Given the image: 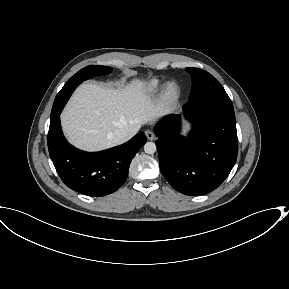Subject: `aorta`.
I'll use <instances>...</instances> for the list:
<instances>
[{"label":"aorta","mask_w":289,"mask_h":289,"mask_svg":"<svg viewBox=\"0 0 289 289\" xmlns=\"http://www.w3.org/2000/svg\"><path fill=\"white\" fill-rule=\"evenodd\" d=\"M157 150V147H156V144L154 142H147L145 143L144 145V151L147 153V154H153L155 153Z\"/></svg>","instance_id":"aorta-1"}]
</instances>
